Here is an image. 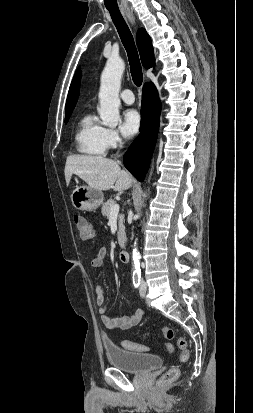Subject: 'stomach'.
<instances>
[{
    "instance_id": "obj_1",
    "label": "stomach",
    "mask_w": 253,
    "mask_h": 413,
    "mask_svg": "<svg viewBox=\"0 0 253 413\" xmlns=\"http://www.w3.org/2000/svg\"><path fill=\"white\" fill-rule=\"evenodd\" d=\"M71 201L76 209L93 211L102 204L103 193L89 186L82 185L73 190Z\"/></svg>"
}]
</instances>
